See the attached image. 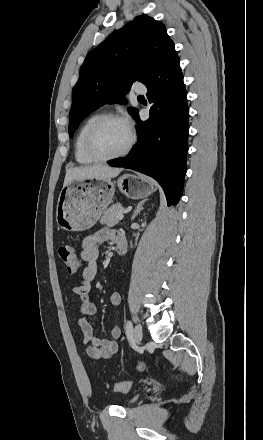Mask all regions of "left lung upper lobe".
<instances>
[{"mask_svg":"<svg viewBox=\"0 0 263 440\" xmlns=\"http://www.w3.org/2000/svg\"><path fill=\"white\" fill-rule=\"evenodd\" d=\"M178 57L166 27L149 16H138L90 51L73 90L69 135L92 111L106 103L126 102L135 81L149 83ZM135 117L136 108H129Z\"/></svg>","mask_w":263,"mask_h":440,"instance_id":"1","label":"left lung upper lobe"}]
</instances>
